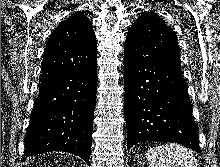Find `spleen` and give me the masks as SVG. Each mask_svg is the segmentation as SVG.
Instances as JSON below:
<instances>
[{
	"instance_id": "obj_1",
	"label": "spleen",
	"mask_w": 220,
	"mask_h": 167,
	"mask_svg": "<svg viewBox=\"0 0 220 167\" xmlns=\"http://www.w3.org/2000/svg\"><path fill=\"white\" fill-rule=\"evenodd\" d=\"M150 167H198L193 152L179 144H164L146 153Z\"/></svg>"
}]
</instances>
